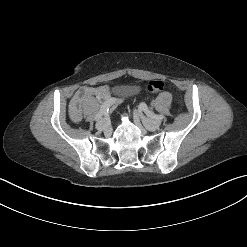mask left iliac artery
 I'll use <instances>...</instances> for the list:
<instances>
[{"label":"left iliac artery","instance_id":"1","mask_svg":"<svg viewBox=\"0 0 247 247\" xmlns=\"http://www.w3.org/2000/svg\"><path fill=\"white\" fill-rule=\"evenodd\" d=\"M139 107H140V109L143 110L148 116L154 117V118L159 119V120H162V119L164 118L163 115H154V114L148 109L147 105H146L144 102L140 103Z\"/></svg>","mask_w":247,"mask_h":247}]
</instances>
